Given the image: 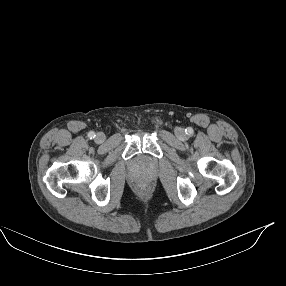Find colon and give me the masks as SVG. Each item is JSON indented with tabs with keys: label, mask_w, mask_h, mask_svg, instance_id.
Here are the masks:
<instances>
[{
	"label": "colon",
	"mask_w": 286,
	"mask_h": 286,
	"mask_svg": "<svg viewBox=\"0 0 286 286\" xmlns=\"http://www.w3.org/2000/svg\"><path fill=\"white\" fill-rule=\"evenodd\" d=\"M139 188H140L141 190H144V189H145V186H144V185H140Z\"/></svg>",
	"instance_id": "1"
}]
</instances>
